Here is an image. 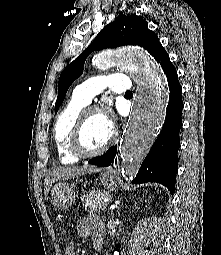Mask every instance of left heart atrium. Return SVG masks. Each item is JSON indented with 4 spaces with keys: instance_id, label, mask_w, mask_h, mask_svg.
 Wrapping results in <instances>:
<instances>
[{
    "instance_id": "left-heart-atrium-1",
    "label": "left heart atrium",
    "mask_w": 221,
    "mask_h": 255,
    "mask_svg": "<svg viewBox=\"0 0 221 255\" xmlns=\"http://www.w3.org/2000/svg\"><path fill=\"white\" fill-rule=\"evenodd\" d=\"M105 119L107 120L108 123H110V121L107 118H105Z\"/></svg>"
}]
</instances>
